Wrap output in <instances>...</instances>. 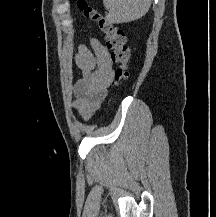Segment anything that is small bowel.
<instances>
[{"instance_id":"obj_1","label":"small bowel","mask_w":216,"mask_h":217,"mask_svg":"<svg viewBox=\"0 0 216 217\" xmlns=\"http://www.w3.org/2000/svg\"><path fill=\"white\" fill-rule=\"evenodd\" d=\"M91 48L78 46L75 63L82 77L74 87L73 108L83 120L91 119L107 96L114 79L113 57L107 47L91 39Z\"/></svg>"}]
</instances>
